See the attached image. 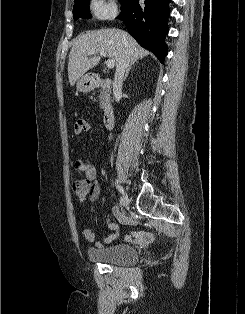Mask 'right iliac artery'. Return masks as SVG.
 <instances>
[{
    "label": "right iliac artery",
    "mask_w": 245,
    "mask_h": 314,
    "mask_svg": "<svg viewBox=\"0 0 245 314\" xmlns=\"http://www.w3.org/2000/svg\"><path fill=\"white\" fill-rule=\"evenodd\" d=\"M117 189L119 190L120 193H123L124 190L120 185H117ZM121 203H122V199H121Z\"/></svg>",
    "instance_id": "82829eb1"
}]
</instances>
